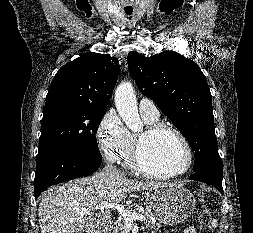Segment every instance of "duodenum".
<instances>
[{"instance_id": "duodenum-1", "label": "duodenum", "mask_w": 253, "mask_h": 233, "mask_svg": "<svg viewBox=\"0 0 253 233\" xmlns=\"http://www.w3.org/2000/svg\"><path fill=\"white\" fill-rule=\"evenodd\" d=\"M109 222H110V219L105 218L102 223L95 225V229L93 230V233H106L109 226Z\"/></svg>"}]
</instances>
